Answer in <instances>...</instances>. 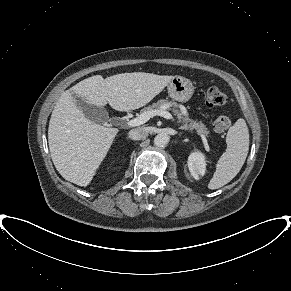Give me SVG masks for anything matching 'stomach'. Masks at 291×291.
Wrapping results in <instances>:
<instances>
[{"mask_svg":"<svg viewBox=\"0 0 291 291\" xmlns=\"http://www.w3.org/2000/svg\"><path fill=\"white\" fill-rule=\"evenodd\" d=\"M168 94L174 101L188 102L194 92L192 82L182 76H173L167 86Z\"/></svg>","mask_w":291,"mask_h":291,"instance_id":"1","label":"stomach"}]
</instances>
